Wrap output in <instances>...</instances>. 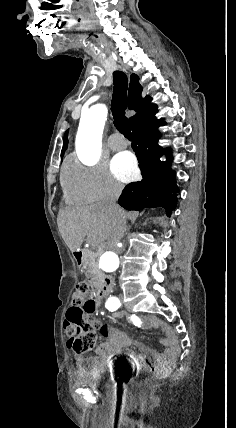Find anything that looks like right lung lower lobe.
Segmentation results:
<instances>
[{
  "label": "right lung lower lobe",
  "instance_id": "obj_1",
  "mask_svg": "<svg viewBox=\"0 0 236 428\" xmlns=\"http://www.w3.org/2000/svg\"><path fill=\"white\" fill-rule=\"evenodd\" d=\"M155 113L147 116L131 129L134 136L133 149L139 161L143 180L128 184L119 198L118 203L127 210L162 207L169 217L176 207L178 187L175 172L170 169V149L158 145L161 134L158 127L162 120ZM166 154L167 160L160 161Z\"/></svg>",
  "mask_w": 236,
  "mask_h": 428
}]
</instances>
